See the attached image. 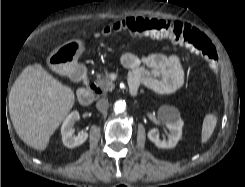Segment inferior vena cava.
<instances>
[{"instance_id": "1", "label": "inferior vena cava", "mask_w": 245, "mask_h": 187, "mask_svg": "<svg viewBox=\"0 0 245 187\" xmlns=\"http://www.w3.org/2000/svg\"><path fill=\"white\" fill-rule=\"evenodd\" d=\"M109 107V102L107 98H101L96 103V108L101 111L105 112Z\"/></svg>"}]
</instances>
